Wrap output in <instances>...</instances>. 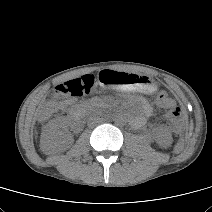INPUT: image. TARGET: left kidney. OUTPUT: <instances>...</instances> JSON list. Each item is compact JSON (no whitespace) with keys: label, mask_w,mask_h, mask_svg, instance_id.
Instances as JSON below:
<instances>
[{"label":"left kidney","mask_w":212,"mask_h":212,"mask_svg":"<svg viewBox=\"0 0 212 212\" xmlns=\"http://www.w3.org/2000/svg\"><path fill=\"white\" fill-rule=\"evenodd\" d=\"M171 140V136L169 134H159L156 138V141L159 145L167 146Z\"/></svg>","instance_id":"1"}]
</instances>
